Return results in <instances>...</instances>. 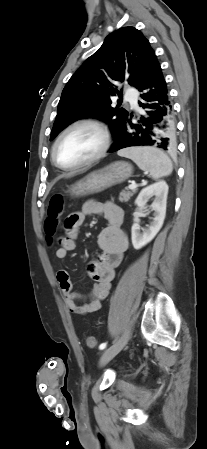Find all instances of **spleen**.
I'll use <instances>...</instances> for the list:
<instances>
[{
  "instance_id": "1",
  "label": "spleen",
  "mask_w": 207,
  "mask_h": 449,
  "mask_svg": "<svg viewBox=\"0 0 207 449\" xmlns=\"http://www.w3.org/2000/svg\"><path fill=\"white\" fill-rule=\"evenodd\" d=\"M118 155L134 161L155 180L170 175L173 170L170 158L155 147H131L118 151Z\"/></svg>"
}]
</instances>
